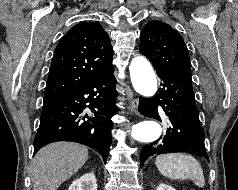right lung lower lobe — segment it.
I'll return each instance as SVG.
<instances>
[{
  "mask_svg": "<svg viewBox=\"0 0 238 190\" xmlns=\"http://www.w3.org/2000/svg\"><path fill=\"white\" fill-rule=\"evenodd\" d=\"M113 71L82 84L60 99L44 103L34 154L48 143L72 141L95 149L106 161L111 144V117L117 111ZM86 107L92 114L84 112Z\"/></svg>",
  "mask_w": 238,
  "mask_h": 190,
  "instance_id": "right-lung-lower-lobe-1",
  "label": "right lung lower lobe"
}]
</instances>
